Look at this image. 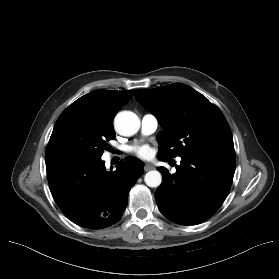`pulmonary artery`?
Instances as JSON below:
<instances>
[{"label": "pulmonary artery", "instance_id": "pulmonary-artery-1", "mask_svg": "<svg viewBox=\"0 0 279 279\" xmlns=\"http://www.w3.org/2000/svg\"><path fill=\"white\" fill-rule=\"evenodd\" d=\"M158 119L153 114H145L141 119V131L144 135L152 134L158 127Z\"/></svg>", "mask_w": 279, "mask_h": 279}]
</instances>
